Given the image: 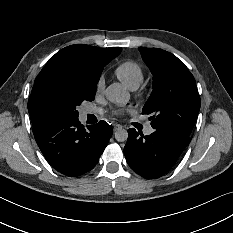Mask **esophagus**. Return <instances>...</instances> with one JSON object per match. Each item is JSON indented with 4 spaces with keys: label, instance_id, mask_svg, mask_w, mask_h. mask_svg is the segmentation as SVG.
<instances>
[{
    "label": "esophagus",
    "instance_id": "34e87169",
    "mask_svg": "<svg viewBox=\"0 0 233 233\" xmlns=\"http://www.w3.org/2000/svg\"><path fill=\"white\" fill-rule=\"evenodd\" d=\"M122 129V125L121 124H113V131H118Z\"/></svg>",
    "mask_w": 233,
    "mask_h": 233
}]
</instances>
